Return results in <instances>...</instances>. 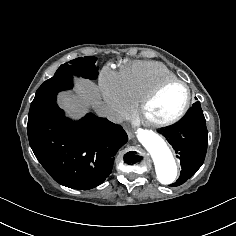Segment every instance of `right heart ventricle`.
Segmentation results:
<instances>
[{
    "instance_id": "1",
    "label": "right heart ventricle",
    "mask_w": 236,
    "mask_h": 236,
    "mask_svg": "<svg viewBox=\"0 0 236 236\" xmlns=\"http://www.w3.org/2000/svg\"><path fill=\"white\" fill-rule=\"evenodd\" d=\"M122 78L128 97L134 104L159 82L176 78L175 73L166 65L155 61H132L122 68Z\"/></svg>"
}]
</instances>
